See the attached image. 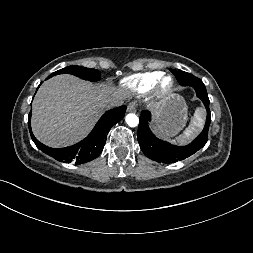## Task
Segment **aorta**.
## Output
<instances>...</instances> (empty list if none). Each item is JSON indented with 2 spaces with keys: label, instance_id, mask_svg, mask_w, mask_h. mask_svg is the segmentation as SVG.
I'll return each mask as SVG.
<instances>
[{
  "label": "aorta",
  "instance_id": "obj_1",
  "mask_svg": "<svg viewBox=\"0 0 253 253\" xmlns=\"http://www.w3.org/2000/svg\"><path fill=\"white\" fill-rule=\"evenodd\" d=\"M125 120L130 127H136L139 124L138 116L133 113L126 115Z\"/></svg>",
  "mask_w": 253,
  "mask_h": 253
}]
</instances>
